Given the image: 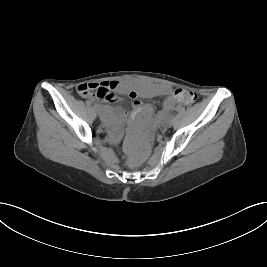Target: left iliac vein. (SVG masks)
<instances>
[{
  "mask_svg": "<svg viewBox=\"0 0 267 267\" xmlns=\"http://www.w3.org/2000/svg\"><path fill=\"white\" fill-rule=\"evenodd\" d=\"M164 127H169L170 126V122L169 121H165L163 124Z\"/></svg>",
  "mask_w": 267,
  "mask_h": 267,
  "instance_id": "1",
  "label": "left iliac vein"
}]
</instances>
